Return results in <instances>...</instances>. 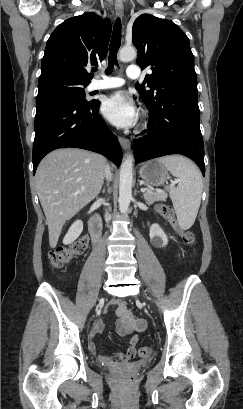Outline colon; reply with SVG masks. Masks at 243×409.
<instances>
[{
    "label": "colon",
    "mask_w": 243,
    "mask_h": 409,
    "mask_svg": "<svg viewBox=\"0 0 243 409\" xmlns=\"http://www.w3.org/2000/svg\"><path fill=\"white\" fill-rule=\"evenodd\" d=\"M157 212L178 229V224L175 219V211L171 206L160 204L157 206ZM180 235L184 243L189 245L194 243L195 236L192 231H180ZM87 244V237H81L69 247L55 249L50 253V265L55 269L64 267L73 257L82 254L85 251ZM138 353L140 357L148 359L152 355V349L149 347H140Z\"/></svg>",
    "instance_id": "5ec220e1"
}]
</instances>
